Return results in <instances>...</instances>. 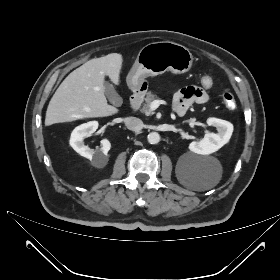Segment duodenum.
<instances>
[{"instance_id":"1","label":"duodenum","mask_w":280,"mask_h":280,"mask_svg":"<svg viewBox=\"0 0 280 280\" xmlns=\"http://www.w3.org/2000/svg\"><path fill=\"white\" fill-rule=\"evenodd\" d=\"M144 94H145V88L140 83H138L135 86L133 94L130 99V108L133 111H136L140 107L144 98Z\"/></svg>"}]
</instances>
